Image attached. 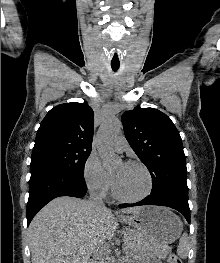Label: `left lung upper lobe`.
I'll use <instances>...</instances> for the list:
<instances>
[{"instance_id":"1","label":"left lung upper lobe","mask_w":220,"mask_h":263,"mask_svg":"<svg viewBox=\"0 0 220 263\" xmlns=\"http://www.w3.org/2000/svg\"><path fill=\"white\" fill-rule=\"evenodd\" d=\"M122 123L127 141L151 174V193L188 197L182 140L171 119L157 109L136 107L122 115Z\"/></svg>"}]
</instances>
